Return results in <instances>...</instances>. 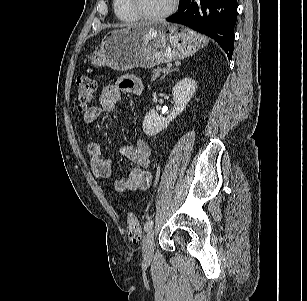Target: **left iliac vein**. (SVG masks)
Instances as JSON below:
<instances>
[{
    "mask_svg": "<svg viewBox=\"0 0 307 301\" xmlns=\"http://www.w3.org/2000/svg\"><path fill=\"white\" fill-rule=\"evenodd\" d=\"M142 253L146 262L151 261L154 254V231L150 230L142 241Z\"/></svg>",
    "mask_w": 307,
    "mask_h": 301,
    "instance_id": "1",
    "label": "left iliac vein"
}]
</instances>
